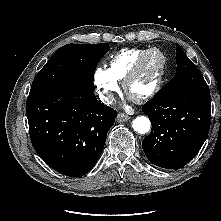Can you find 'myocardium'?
Instances as JSON below:
<instances>
[{
	"instance_id": "obj_1",
	"label": "myocardium",
	"mask_w": 221,
	"mask_h": 221,
	"mask_svg": "<svg viewBox=\"0 0 221 221\" xmlns=\"http://www.w3.org/2000/svg\"><path fill=\"white\" fill-rule=\"evenodd\" d=\"M158 53L161 57V65L159 68V72L157 74L156 80L152 87L145 93L134 96L130 93V85L132 81L137 77V75L142 70L146 60L148 57L153 54ZM166 65H167V58L163 51L160 49L153 47L150 49H147L133 64L125 78L123 79V89L125 93L134 101L137 103L144 102L150 98H152L160 89L163 84L164 75L166 71Z\"/></svg>"
}]
</instances>
